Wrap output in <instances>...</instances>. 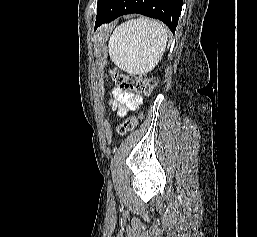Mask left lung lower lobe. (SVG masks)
I'll return each mask as SVG.
<instances>
[{
  "mask_svg": "<svg viewBox=\"0 0 257 237\" xmlns=\"http://www.w3.org/2000/svg\"><path fill=\"white\" fill-rule=\"evenodd\" d=\"M183 0H108L97 15L95 29L119 16L139 13L164 22L174 33Z\"/></svg>",
  "mask_w": 257,
  "mask_h": 237,
  "instance_id": "0a47b994",
  "label": "left lung lower lobe"
}]
</instances>
